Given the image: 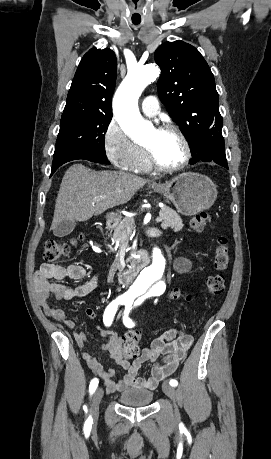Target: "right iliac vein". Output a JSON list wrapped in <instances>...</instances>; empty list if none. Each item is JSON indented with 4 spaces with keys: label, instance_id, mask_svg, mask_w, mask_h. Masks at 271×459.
Returning <instances> with one entry per match:
<instances>
[{
    "label": "right iliac vein",
    "instance_id": "63e3f726",
    "mask_svg": "<svg viewBox=\"0 0 271 459\" xmlns=\"http://www.w3.org/2000/svg\"><path fill=\"white\" fill-rule=\"evenodd\" d=\"M104 391L102 388H98L93 396L90 413L94 419L98 417L99 414V404L103 397Z\"/></svg>",
    "mask_w": 271,
    "mask_h": 459
}]
</instances>
